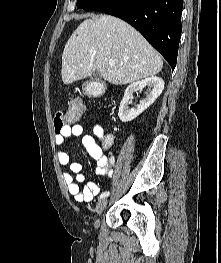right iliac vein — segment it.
<instances>
[{"label": "right iliac vein", "mask_w": 221, "mask_h": 263, "mask_svg": "<svg viewBox=\"0 0 221 263\" xmlns=\"http://www.w3.org/2000/svg\"><path fill=\"white\" fill-rule=\"evenodd\" d=\"M108 203V200L105 198H102L98 201L96 205V219H95V227L99 225V216L101 215L102 211L106 208Z\"/></svg>", "instance_id": "right-iliac-vein-1"}]
</instances>
